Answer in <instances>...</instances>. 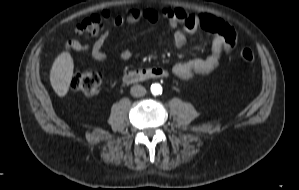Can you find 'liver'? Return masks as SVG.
I'll use <instances>...</instances> for the list:
<instances>
[{
  "instance_id": "1",
  "label": "liver",
  "mask_w": 299,
  "mask_h": 190,
  "mask_svg": "<svg viewBox=\"0 0 299 190\" xmlns=\"http://www.w3.org/2000/svg\"><path fill=\"white\" fill-rule=\"evenodd\" d=\"M74 63L68 52L61 53L54 61L50 71V83L60 97L68 93L73 76Z\"/></svg>"
}]
</instances>
